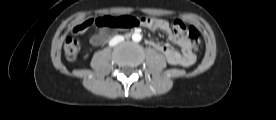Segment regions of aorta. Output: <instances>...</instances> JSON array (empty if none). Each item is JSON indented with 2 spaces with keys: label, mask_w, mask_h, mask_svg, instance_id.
<instances>
[{
  "label": "aorta",
  "mask_w": 276,
  "mask_h": 120,
  "mask_svg": "<svg viewBox=\"0 0 276 120\" xmlns=\"http://www.w3.org/2000/svg\"><path fill=\"white\" fill-rule=\"evenodd\" d=\"M141 39H142V36H141L140 33H133V35H132V40H133L134 42H140Z\"/></svg>",
  "instance_id": "aorta-1"
}]
</instances>
